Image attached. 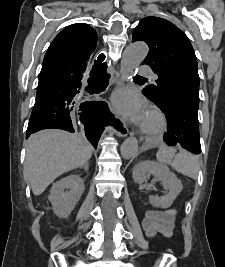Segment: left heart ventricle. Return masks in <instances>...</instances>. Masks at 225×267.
Wrapping results in <instances>:
<instances>
[{
  "mask_svg": "<svg viewBox=\"0 0 225 267\" xmlns=\"http://www.w3.org/2000/svg\"><path fill=\"white\" fill-rule=\"evenodd\" d=\"M154 124H155V120L151 116L147 115L143 125L150 127V126H153Z\"/></svg>",
  "mask_w": 225,
  "mask_h": 267,
  "instance_id": "left-heart-ventricle-1",
  "label": "left heart ventricle"
}]
</instances>
